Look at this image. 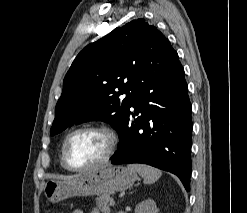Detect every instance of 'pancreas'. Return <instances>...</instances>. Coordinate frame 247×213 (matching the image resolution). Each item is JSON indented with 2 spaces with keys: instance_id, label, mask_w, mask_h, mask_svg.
I'll list each match as a JSON object with an SVG mask.
<instances>
[{
  "instance_id": "cf45deb5",
  "label": "pancreas",
  "mask_w": 247,
  "mask_h": 213,
  "mask_svg": "<svg viewBox=\"0 0 247 213\" xmlns=\"http://www.w3.org/2000/svg\"><path fill=\"white\" fill-rule=\"evenodd\" d=\"M110 193L103 194L96 199V206L103 213H109L110 201H111Z\"/></svg>"
}]
</instances>
